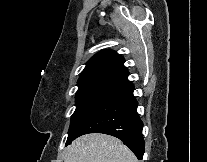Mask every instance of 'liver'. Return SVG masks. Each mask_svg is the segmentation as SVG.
Instances as JSON below:
<instances>
[{
    "label": "liver",
    "mask_w": 207,
    "mask_h": 162,
    "mask_svg": "<svg viewBox=\"0 0 207 162\" xmlns=\"http://www.w3.org/2000/svg\"><path fill=\"white\" fill-rule=\"evenodd\" d=\"M66 162H139L119 139L101 133L83 135L68 147Z\"/></svg>",
    "instance_id": "1"
}]
</instances>
